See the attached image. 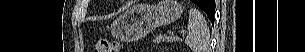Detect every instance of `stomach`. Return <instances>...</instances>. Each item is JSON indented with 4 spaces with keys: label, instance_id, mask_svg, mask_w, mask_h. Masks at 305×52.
Wrapping results in <instances>:
<instances>
[{
    "label": "stomach",
    "instance_id": "0dacf381",
    "mask_svg": "<svg viewBox=\"0 0 305 52\" xmlns=\"http://www.w3.org/2000/svg\"><path fill=\"white\" fill-rule=\"evenodd\" d=\"M182 13V5L176 0H162L155 5L136 4L112 23L111 32L117 39L135 41L160 25L173 23Z\"/></svg>",
    "mask_w": 305,
    "mask_h": 52
}]
</instances>
